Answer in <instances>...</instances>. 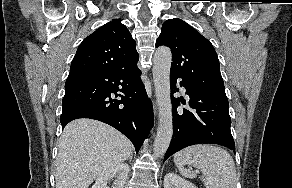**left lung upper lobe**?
<instances>
[{"mask_svg":"<svg viewBox=\"0 0 292 188\" xmlns=\"http://www.w3.org/2000/svg\"><path fill=\"white\" fill-rule=\"evenodd\" d=\"M172 51L171 74L199 88L225 94L220 64L212 44L179 18L164 22L156 46Z\"/></svg>","mask_w":292,"mask_h":188,"instance_id":"1","label":"left lung upper lobe"}]
</instances>
